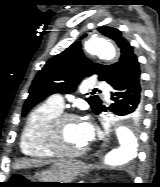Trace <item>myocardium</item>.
<instances>
[{
    "label": "myocardium",
    "mask_w": 160,
    "mask_h": 187,
    "mask_svg": "<svg viewBox=\"0 0 160 187\" xmlns=\"http://www.w3.org/2000/svg\"><path fill=\"white\" fill-rule=\"evenodd\" d=\"M68 120L80 121V118L74 113L60 112L50 120L45 131L46 146L56 156L66 158L78 157L87 152L89 145L86 144L84 147L77 151H68L63 148L61 143V128L63 123Z\"/></svg>",
    "instance_id": "1"
}]
</instances>
